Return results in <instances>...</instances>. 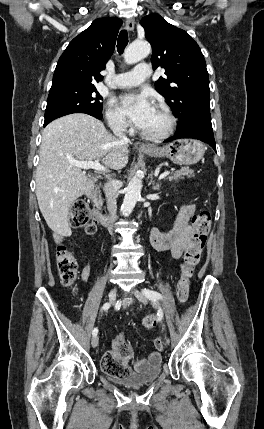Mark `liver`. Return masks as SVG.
I'll use <instances>...</instances> for the list:
<instances>
[{
    "label": "liver",
    "instance_id": "obj_1",
    "mask_svg": "<svg viewBox=\"0 0 264 429\" xmlns=\"http://www.w3.org/2000/svg\"><path fill=\"white\" fill-rule=\"evenodd\" d=\"M36 170V196L40 211L53 232L71 235L68 214L72 203L84 194L87 176L71 160L102 163L119 170L128 163V143L110 134L98 119L74 113L54 120L42 134Z\"/></svg>",
    "mask_w": 264,
    "mask_h": 429
}]
</instances>
